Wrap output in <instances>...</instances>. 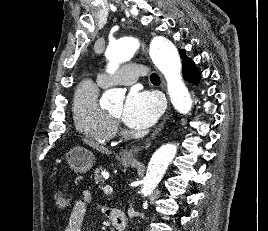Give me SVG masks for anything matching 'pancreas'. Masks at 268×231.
Listing matches in <instances>:
<instances>
[{
	"mask_svg": "<svg viewBox=\"0 0 268 231\" xmlns=\"http://www.w3.org/2000/svg\"><path fill=\"white\" fill-rule=\"evenodd\" d=\"M104 170V167H98L96 170H95V176H94V180H95V183L96 184H99V187L101 188V189H103L102 188V184L104 183V179H103V177H102V175H101V172Z\"/></svg>",
	"mask_w": 268,
	"mask_h": 231,
	"instance_id": "obj_1",
	"label": "pancreas"
}]
</instances>
